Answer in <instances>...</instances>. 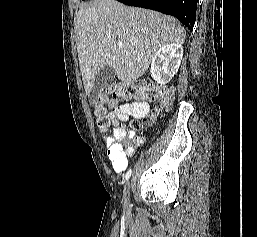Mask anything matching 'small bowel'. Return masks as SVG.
<instances>
[{
	"mask_svg": "<svg viewBox=\"0 0 257 237\" xmlns=\"http://www.w3.org/2000/svg\"><path fill=\"white\" fill-rule=\"evenodd\" d=\"M149 111L146 102H133L131 104H117L111 110V120L114 126L113 135L124 134L121 123L129 121L131 118H144ZM125 136V134H124ZM130 145L124 147L121 141L111 142L106 145L107 155L112 163L113 170L120 174L127 168L129 159L134 155L137 148L143 143L142 137H136L133 131L128 132Z\"/></svg>",
	"mask_w": 257,
	"mask_h": 237,
	"instance_id": "small-bowel-1",
	"label": "small bowel"
}]
</instances>
